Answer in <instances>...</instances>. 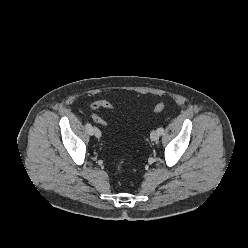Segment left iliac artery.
Instances as JSON below:
<instances>
[{"mask_svg": "<svg viewBox=\"0 0 248 248\" xmlns=\"http://www.w3.org/2000/svg\"><path fill=\"white\" fill-rule=\"evenodd\" d=\"M157 132L159 133V135H162L164 133V128L162 127L158 128Z\"/></svg>", "mask_w": 248, "mask_h": 248, "instance_id": "left-iliac-artery-1", "label": "left iliac artery"}]
</instances>
